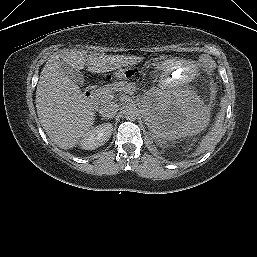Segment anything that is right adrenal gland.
Masks as SVG:
<instances>
[{
    "label": "right adrenal gland",
    "mask_w": 257,
    "mask_h": 257,
    "mask_svg": "<svg viewBox=\"0 0 257 257\" xmlns=\"http://www.w3.org/2000/svg\"><path fill=\"white\" fill-rule=\"evenodd\" d=\"M102 120H108L109 118H101Z\"/></svg>",
    "instance_id": "right-adrenal-gland-1"
}]
</instances>
